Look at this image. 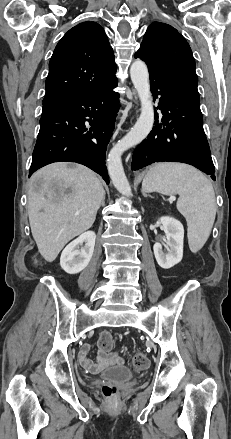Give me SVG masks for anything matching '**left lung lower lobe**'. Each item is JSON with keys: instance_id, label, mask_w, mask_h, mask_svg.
I'll use <instances>...</instances> for the list:
<instances>
[{"instance_id": "1", "label": "left lung lower lobe", "mask_w": 231, "mask_h": 439, "mask_svg": "<svg viewBox=\"0 0 231 439\" xmlns=\"http://www.w3.org/2000/svg\"><path fill=\"white\" fill-rule=\"evenodd\" d=\"M151 92L159 98L157 109L163 117L135 149L132 170L155 162H182L195 166L215 180L210 148L203 130L200 106L181 94L173 85L149 70Z\"/></svg>"}]
</instances>
